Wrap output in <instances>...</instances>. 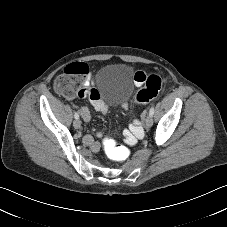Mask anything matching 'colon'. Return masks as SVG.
I'll use <instances>...</instances> for the list:
<instances>
[{"label":"colon","mask_w":227,"mask_h":227,"mask_svg":"<svg viewBox=\"0 0 227 227\" xmlns=\"http://www.w3.org/2000/svg\"><path fill=\"white\" fill-rule=\"evenodd\" d=\"M79 75L78 64L67 66L63 73L58 76L56 88L65 96L77 94L79 97H83V91L79 90ZM134 81L139 83V89L134 96L135 102L139 105H145L152 101L158 95L163 85V79L160 75L152 74L147 76L141 71L135 73ZM89 97L92 100L97 99L94 91L90 93ZM135 139V135L126 136L128 145L133 144ZM103 147L108 158L112 161H124L129 155L128 147L112 149L106 141L103 142Z\"/></svg>","instance_id":"obj_1"}]
</instances>
